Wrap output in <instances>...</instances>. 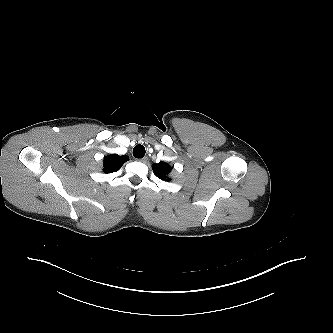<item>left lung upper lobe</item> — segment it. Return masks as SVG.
Masks as SVG:
<instances>
[{
	"label": "left lung upper lobe",
	"mask_w": 333,
	"mask_h": 333,
	"mask_svg": "<svg viewBox=\"0 0 333 333\" xmlns=\"http://www.w3.org/2000/svg\"><path fill=\"white\" fill-rule=\"evenodd\" d=\"M152 169L154 174L160 178V179H164V180H169L170 178L168 177V175L170 174V172L172 171V167L166 163V162H159V163H154L152 165Z\"/></svg>",
	"instance_id": "left-lung-upper-lobe-1"
}]
</instances>
